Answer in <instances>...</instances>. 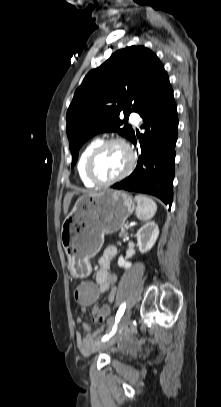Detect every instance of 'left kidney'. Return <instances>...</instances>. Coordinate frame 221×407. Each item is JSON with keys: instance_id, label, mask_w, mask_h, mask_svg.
I'll list each match as a JSON object with an SVG mask.
<instances>
[{"instance_id": "left-kidney-1", "label": "left kidney", "mask_w": 221, "mask_h": 407, "mask_svg": "<svg viewBox=\"0 0 221 407\" xmlns=\"http://www.w3.org/2000/svg\"><path fill=\"white\" fill-rule=\"evenodd\" d=\"M159 235V229L155 222H147L137 232V246L141 253H146L155 244ZM119 267L129 269L131 262L126 261L122 256L118 259Z\"/></svg>"}]
</instances>
